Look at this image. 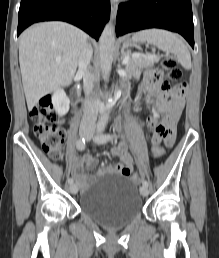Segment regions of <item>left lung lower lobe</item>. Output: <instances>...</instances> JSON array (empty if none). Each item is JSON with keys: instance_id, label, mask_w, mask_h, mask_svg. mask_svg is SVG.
I'll return each instance as SVG.
<instances>
[{"instance_id": "0a47b994", "label": "left lung lower lobe", "mask_w": 219, "mask_h": 258, "mask_svg": "<svg viewBox=\"0 0 219 258\" xmlns=\"http://www.w3.org/2000/svg\"><path fill=\"white\" fill-rule=\"evenodd\" d=\"M117 36L147 28L180 33L194 48L191 0H130L118 6Z\"/></svg>"}]
</instances>
